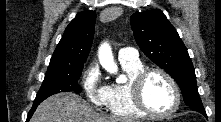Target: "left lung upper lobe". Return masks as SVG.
Returning <instances> with one entry per match:
<instances>
[{"label": "left lung upper lobe", "mask_w": 221, "mask_h": 122, "mask_svg": "<svg viewBox=\"0 0 221 122\" xmlns=\"http://www.w3.org/2000/svg\"><path fill=\"white\" fill-rule=\"evenodd\" d=\"M131 26L144 54L178 83L186 105L204 110L187 49L163 12L153 9L135 13L131 16Z\"/></svg>", "instance_id": "1"}]
</instances>
